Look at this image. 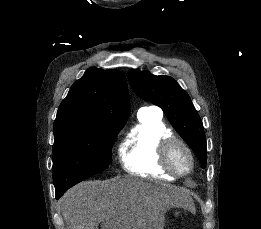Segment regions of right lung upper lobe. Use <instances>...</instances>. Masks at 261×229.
I'll use <instances>...</instances> for the list:
<instances>
[{
	"label": "right lung upper lobe",
	"mask_w": 261,
	"mask_h": 229,
	"mask_svg": "<svg viewBox=\"0 0 261 229\" xmlns=\"http://www.w3.org/2000/svg\"><path fill=\"white\" fill-rule=\"evenodd\" d=\"M129 111L125 76L118 70L89 68L59 106L54 121V145L96 127L125 125Z\"/></svg>",
	"instance_id": "right-lung-upper-lobe-1"
}]
</instances>
